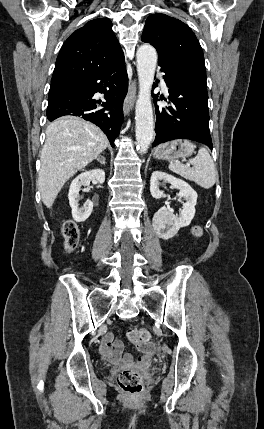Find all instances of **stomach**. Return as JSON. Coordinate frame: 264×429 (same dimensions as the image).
<instances>
[{
	"mask_svg": "<svg viewBox=\"0 0 264 429\" xmlns=\"http://www.w3.org/2000/svg\"><path fill=\"white\" fill-rule=\"evenodd\" d=\"M195 145L189 140L176 139L157 146L153 155L156 159L178 160L191 156L194 152Z\"/></svg>",
	"mask_w": 264,
	"mask_h": 429,
	"instance_id": "0dacf381",
	"label": "stomach"
}]
</instances>
